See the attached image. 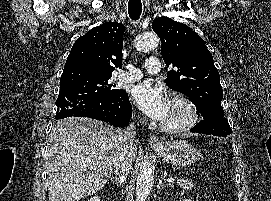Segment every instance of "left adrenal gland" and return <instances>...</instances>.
I'll return each mask as SVG.
<instances>
[{
    "label": "left adrenal gland",
    "mask_w": 271,
    "mask_h": 201,
    "mask_svg": "<svg viewBox=\"0 0 271 201\" xmlns=\"http://www.w3.org/2000/svg\"><path fill=\"white\" fill-rule=\"evenodd\" d=\"M167 186L170 187L171 184H165V183L162 182L161 178H159V182H158V184H157L158 190L164 189V188L167 187Z\"/></svg>",
    "instance_id": "left-adrenal-gland-1"
}]
</instances>
